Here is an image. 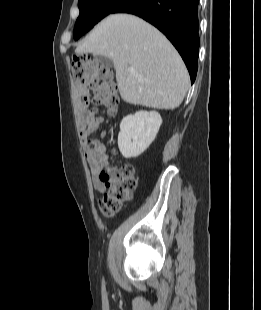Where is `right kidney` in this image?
<instances>
[{
    "label": "right kidney",
    "mask_w": 261,
    "mask_h": 310,
    "mask_svg": "<svg viewBox=\"0 0 261 310\" xmlns=\"http://www.w3.org/2000/svg\"><path fill=\"white\" fill-rule=\"evenodd\" d=\"M162 118L156 111H138L124 117L120 123L118 147L125 158L142 154L155 139Z\"/></svg>",
    "instance_id": "1"
}]
</instances>
